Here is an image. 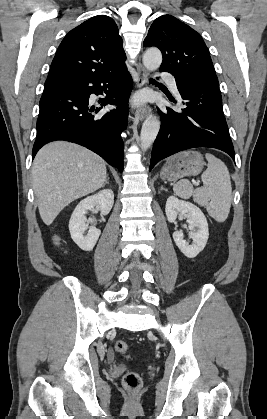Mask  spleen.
<instances>
[{"label": "spleen", "mask_w": 267, "mask_h": 419, "mask_svg": "<svg viewBox=\"0 0 267 419\" xmlns=\"http://www.w3.org/2000/svg\"><path fill=\"white\" fill-rule=\"evenodd\" d=\"M208 167L201 179L203 187L194 189L188 180L177 182L174 193L183 199L193 197L200 206L206 208L208 214L217 222H224L229 214L232 201L230 174L226 165L213 154L206 153Z\"/></svg>", "instance_id": "spleen-1"}]
</instances>
